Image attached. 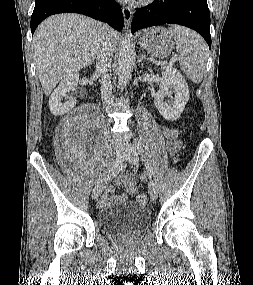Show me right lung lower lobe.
Listing matches in <instances>:
<instances>
[{
	"label": "right lung lower lobe",
	"instance_id": "98d812e1",
	"mask_svg": "<svg viewBox=\"0 0 253 285\" xmlns=\"http://www.w3.org/2000/svg\"><path fill=\"white\" fill-rule=\"evenodd\" d=\"M80 13L121 30L124 26L121 7L114 0H36L31 17L32 35L48 16L58 13Z\"/></svg>",
	"mask_w": 253,
	"mask_h": 285
}]
</instances>
